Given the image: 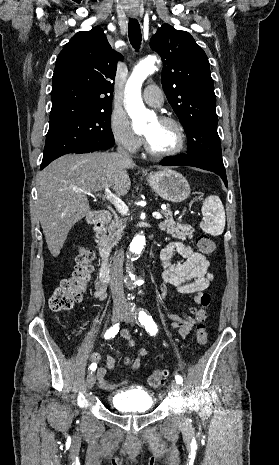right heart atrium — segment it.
Wrapping results in <instances>:
<instances>
[{
  "mask_svg": "<svg viewBox=\"0 0 279 465\" xmlns=\"http://www.w3.org/2000/svg\"><path fill=\"white\" fill-rule=\"evenodd\" d=\"M110 130L115 143L122 150L135 153L141 147L142 139L133 131L130 121L124 113L115 111L112 114Z\"/></svg>",
  "mask_w": 279,
  "mask_h": 465,
  "instance_id": "obj_1",
  "label": "right heart atrium"
}]
</instances>
